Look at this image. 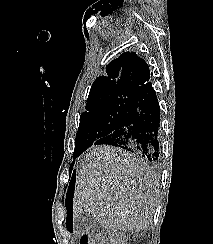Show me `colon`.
I'll use <instances>...</instances> for the list:
<instances>
[{"instance_id": "obj_1", "label": "colon", "mask_w": 213, "mask_h": 244, "mask_svg": "<svg viewBox=\"0 0 213 244\" xmlns=\"http://www.w3.org/2000/svg\"><path fill=\"white\" fill-rule=\"evenodd\" d=\"M80 244H115L110 238L103 236L102 234H95L93 236L84 235L80 239Z\"/></svg>"}]
</instances>
